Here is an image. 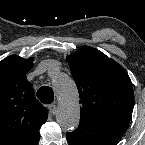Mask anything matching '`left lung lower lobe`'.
Returning <instances> with one entry per match:
<instances>
[{
    "instance_id": "0a47b994",
    "label": "left lung lower lobe",
    "mask_w": 145,
    "mask_h": 145,
    "mask_svg": "<svg viewBox=\"0 0 145 145\" xmlns=\"http://www.w3.org/2000/svg\"><path fill=\"white\" fill-rule=\"evenodd\" d=\"M129 123L125 122H86L68 132L70 145H116L124 135Z\"/></svg>"
}]
</instances>
